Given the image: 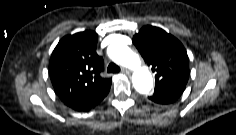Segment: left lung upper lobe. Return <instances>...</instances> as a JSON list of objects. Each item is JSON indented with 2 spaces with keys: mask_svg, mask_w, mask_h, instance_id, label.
<instances>
[{
  "mask_svg": "<svg viewBox=\"0 0 236 135\" xmlns=\"http://www.w3.org/2000/svg\"><path fill=\"white\" fill-rule=\"evenodd\" d=\"M133 43L155 72V88L186 85L189 59L182 43L161 28L145 26L133 36Z\"/></svg>",
  "mask_w": 236,
  "mask_h": 135,
  "instance_id": "1",
  "label": "left lung upper lobe"
}]
</instances>
